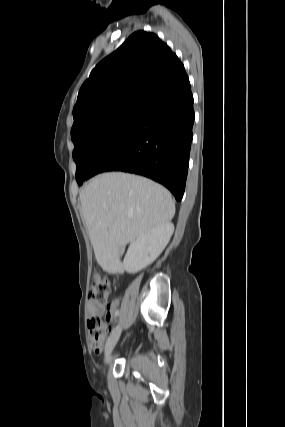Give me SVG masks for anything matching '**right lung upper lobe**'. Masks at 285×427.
<instances>
[{
    "label": "right lung upper lobe",
    "mask_w": 285,
    "mask_h": 427,
    "mask_svg": "<svg viewBox=\"0 0 285 427\" xmlns=\"http://www.w3.org/2000/svg\"><path fill=\"white\" fill-rule=\"evenodd\" d=\"M185 73L169 46L154 33L137 31L104 58L82 85L71 133L127 106L144 105L159 88Z\"/></svg>",
    "instance_id": "1"
}]
</instances>
